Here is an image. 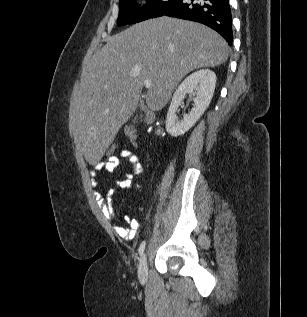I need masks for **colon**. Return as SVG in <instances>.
I'll list each match as a JSON object with an SVG mask.
<instances>
[{
    "mask_svg": "<svg viewBox=\"0 0 307 317\" xmlns=\"http://www.w3.org/2000/svg\"><path fill=\"white\" fill-rule=\"evenodd\" d=\"M145 126L147 128V133L150 136L159 137L164 133V121L161 119L153 122L145 121ZM125 135L133 146L137 144V133L134 126H126ZM122 150L124 149L119 144H110L105 152V160L118 157Z\"/></svg>",
    "mask_w": 307,
    "mask_h": 317,
    "instance_id": "colon-1",
    "label": "colon"
}]
</instances>
